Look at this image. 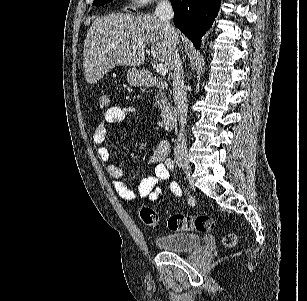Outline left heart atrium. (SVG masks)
Instances as JSON below:
<instances>
[{
	"mask_svg": "<svg viewBox=\"0 0 307 301\" xmlns=\"http://www.w3.org/2000/svg\"><path fill=\"white\" fill-rule=\"evenodd\" d=\"M155 62H174V61H155Z\"/></svg>",
	"mask_w": 307,
	"mask_h": 301,
	"instance_id": "obj_1",
	"label": "left heart atrium"
}]
</instances>
